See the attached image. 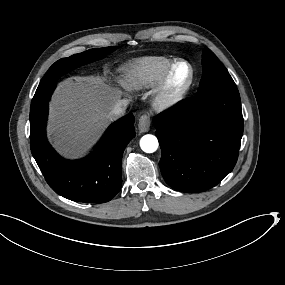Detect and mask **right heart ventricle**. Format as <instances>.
<instances>
[{
    "mask_svg": "<svg viewBox=\"0 0 285 285\" xmlns=\"http://www.w3.org/2000/svg\"><path fill=\"white\" fill-rule=\"evenodd\" d=\"M171 69V63L161 56H150L136 62L132 90L141 91L157 85Z\"/></svg>",
    "mask_w": 285,
    "mask_h": 285,
    "instance_id": "1",
    "label": "right heart ventricle"
}]
</instances>
